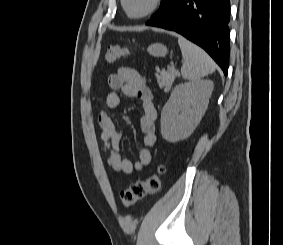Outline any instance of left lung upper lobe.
<instances>
[{
	"instance_id": "obj_1",
	"label": "left lung upper lobe",
	"mask_w": 283,
	"mask_h": 245,
	"mask_svg": "<svg viewBox=\"0 0 283 245\" xmlns=\"http://www.w3.org/2000/svg\"><path fill=\"white\" fill-rule=\"evenodd\" d=\"M172 2L173 0H162L159 10L152 17L161 14Z\"/></svg>"
}]
</instances>
